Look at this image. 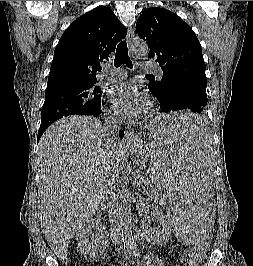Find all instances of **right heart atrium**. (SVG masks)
Returning <instances> with one entry per match:
<instances>
[{
    "label": "right heart atrium",
    "instance_id": "d8ad5b80",
    "mask_svg": "<svg viewBox=\"0 0 253 266\" xmlns=\"http://www.w3.org/2000/svg\"><path fill=\"white\" fill-rule=\"evenodd\" d=\"M105 114L108 118L110 119H118L119 118V113L117 112V110L111 106V105H107L105 108Z\"/></svg>",
    "mask_w": 253,
    "mask_h": 266
}]
</instances>
